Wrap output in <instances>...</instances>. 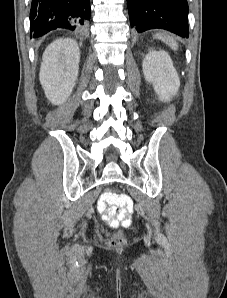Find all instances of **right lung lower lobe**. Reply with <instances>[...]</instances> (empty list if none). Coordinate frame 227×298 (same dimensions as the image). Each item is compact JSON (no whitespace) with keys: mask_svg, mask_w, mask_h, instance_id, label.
<instances>
[{"mask_svg":"<svg viewBox=\"0 0 227 298\" xmlns=\"http://www.w3.org/2000/svg\"><path fill=\"white\" fill-rule=\"evenodd\" d=\"M90 19V0H32L30 23L33 37L56 28L79 30Z\"/></svg>","mask_w":227,"mask_h":298,"instance_id":"98d812e1","label":"right lung lower lobe"}]
</instances>
